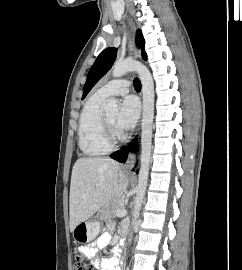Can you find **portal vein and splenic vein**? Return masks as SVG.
<instances>
[{
    "label": "portal vein and splenic vein",
    "instance_id": "obj_1",
    "mask_svg": "<svg viewBox=\"0 0 242 270\" xmlns=\"http://www.w3.org/2000/svg\"><path fill=\"white\" fill-rule=\"evenodd\" d=\"M125 213H126V210L123 209L122 207H121V208H118V209L116 210V215H123V214H125Z\"/></svg>",
    "mask_w": 242,
    "mask_h": 270
}]
</instances>
